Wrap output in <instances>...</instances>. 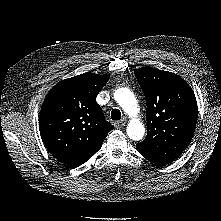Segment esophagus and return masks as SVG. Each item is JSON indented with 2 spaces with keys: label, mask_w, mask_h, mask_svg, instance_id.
<instances>
[{
  "label": "esophagus",
  "mask_w": 221,
  "mask_h": 221,
  "mask_svg": "<svg viewBox=\"0 0 221 221\" xmlns=\"http://www.w3.org/2000/svg\"><path fill=\"white\" fill-rule=\"evenodd\" d=\"M114 125L116 128H123L126 125V120L117 121Z\"/></svg>",
  "instance_id": "1"
}]
</instances>
